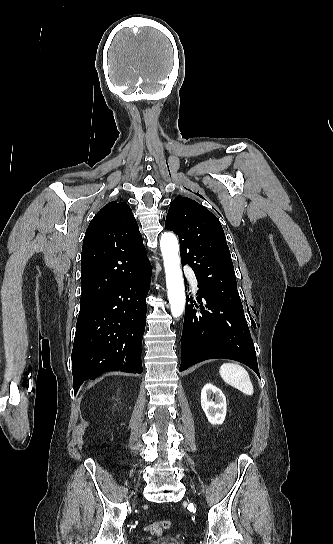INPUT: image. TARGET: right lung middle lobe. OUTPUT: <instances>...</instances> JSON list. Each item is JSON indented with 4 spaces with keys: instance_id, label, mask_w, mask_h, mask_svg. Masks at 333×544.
I'll return each mask as SVG.
<instances>
[{
    "instance_id": "right-lung-middle-lobe-1",
    "label": "right lung middle lobe",
    "mask_w": 333,
    "mask_h": 544,
    "mask_svg": "<svg viewBox=\"0 0 333 544\" xmlns=\"http://www.w3.org/2000/svg\"><path fill=\"white\" fill-rule=\"evenodd\" d=\"M91 302H80V307L90 304Z\"/></svg>"
}]
</instances>
